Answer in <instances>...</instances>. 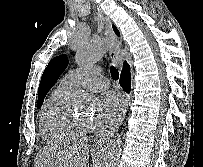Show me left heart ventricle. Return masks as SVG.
Listing matches in <instances>:
<instances>
[{"label": "left heart ventricle", "instance_id": "b2bd125f", "mask_svg": "<svg viewBox=\"0 0 203 167\" xmlns=\"http://www.w3.org/2000/svg\"><path fill=\"white\" fill-rule=\"evenodd\" d=\"M80 117H83V118H85V119H87V120H90L91 121V116L90 115H88V114H83L82 116H80Z\"/></svg>", "mask_w": 203, "mask_h": 167}]
</instances>
